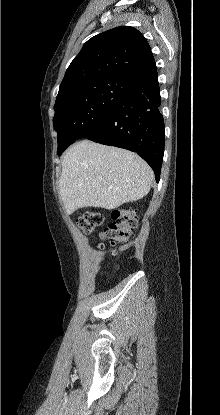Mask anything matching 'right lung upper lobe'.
<instances>
[{"label": "right lung upper lobe", "mask_w": 220, "mask_h": 415, "mask_svg": "<svg viewBox=\"0 0 220 415\" xmlns=\"http://www.w3.org/2000/svg\"><path fill=\"white\" fill-rule=\"evenodd\" d=\"M150 46L135 28L121 26L89 39L66 70L59 92L74 84L117 78L135 86L157 76Z\"/></svg>", "instance_id": "cb5924a9"}]
</instances>
